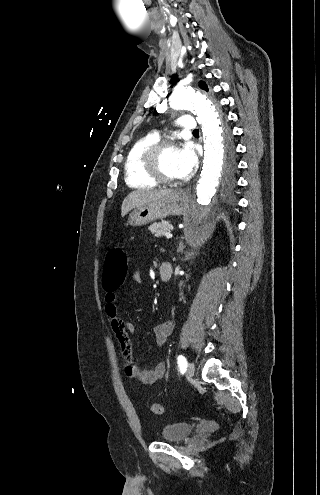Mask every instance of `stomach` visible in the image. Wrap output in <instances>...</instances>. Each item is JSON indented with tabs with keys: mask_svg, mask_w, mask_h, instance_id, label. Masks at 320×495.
<instances>
[{
	"mask_svg": "<svg viewBox=\"0 0 320 495\" xmlns=\"http://www.w3.org/2000/svg\"><path fill=\"white\" fill-rule=\"evenodd\" d=\"M188 207L187 196L180 190H173L160 199L137 207L130 215L128 223L131 226H144L156 220H162L170 215H182Z\"/></svg>",
	"mask_w": 320,
	"mask_h": 495,
	"instance_id": "1",
	"label": "stomach"
}]
</instances>
